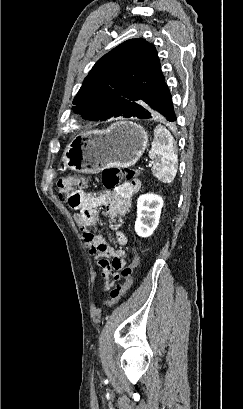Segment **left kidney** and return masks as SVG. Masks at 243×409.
Wrapping results in <instances>:
<instances>
[{
	"label": "left kidney",
	"mask_w": 243,
	"mask_h": 409,
	"mask_svg": "<svg viewBox=\"0 0 243 409\" xmlns=\"http://www.w3.org/2000/svg\"><path fill=\"white\" fill-rule=\"evenodd\" d=\"M163 199L156 194H144L137 200L135 231L138 236L148 237L159 224Z\"/></svg>",
	"instance_id": "obj_1"
}]
</instances>
